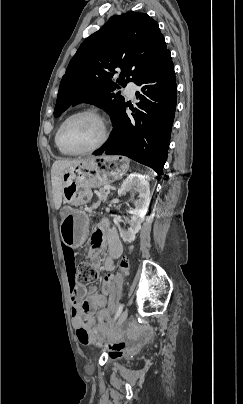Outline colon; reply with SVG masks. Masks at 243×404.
<instances>
[{
	"instance_id": "5ec220e1",
	"label": "colon",
	"mask_w": 243,
	"mask_h": 404,
	"mask_svg": "<svg viewBox=\"0 0 243 404\" xmlns=\"http://www.w3.org/2000/svg\"><path fill=\"white\" fill-rule=\"evenodd\" d=\"M123 269L127 268V262L122 261L121 264ZM98 278V273L95 269V267L87 261L81 262L78 265V275H77V280L78 282L82 284H89L93 283L97 280ZM113 288V276L109 275L104 278L103 281V292L106 295H110L112 292ZM142 344L141 340H115V341H110L107 344V347L117 355H121L123 352H133L137 348L140 347Z\"/></svg>"
}]
</instances>
